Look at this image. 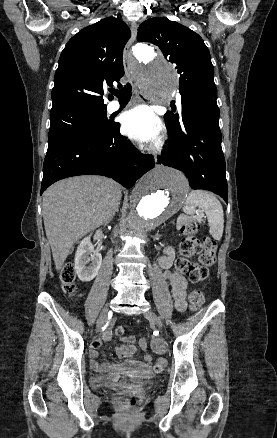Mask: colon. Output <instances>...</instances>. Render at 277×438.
Returning <instances> with one entry per match:
<instances>
[{
  "instance_id": "5ec220e1",
  "label": "colon",
  "mask_w": 277,
  "mask_h": 438,
  "mask_svg": "<svg viewBox=\"0 0 277 438\" xmlns=\"http://www.w3.org/2000/svg\"><path fill=\"white\" fill-rule=\"evenodd\" d=\"M180 232L183 239L180 244L181 253L188 258L199 256V263L185 258L176 260V270L178 273L186 276L192 282H200L207 278L208 269L215 264L216 241L210 235L196 236L199 231V223L188 218H182L179 222ZM75 276L74 269L71 266H65L62 269V290L69 297L77 294V289L71 279ZM190 309L198 311L205 302V296L201 291L194 290L188 296ZM118 336H123L124 331L121 327L115 329ZM127 342L133 341V338L126 337ZM166 364L164 358L159 357L156 361V369L161 370ZM126 409H137L139 406L137 393H126L124 396Z\"/></svg>"
}]
</instances>
